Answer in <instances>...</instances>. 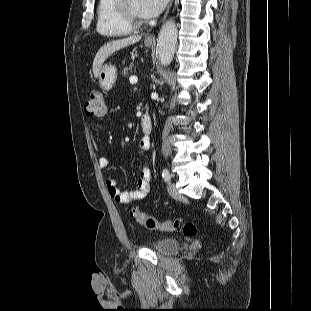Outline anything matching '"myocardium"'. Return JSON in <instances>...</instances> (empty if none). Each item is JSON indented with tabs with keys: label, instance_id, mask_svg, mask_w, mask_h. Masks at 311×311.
I'll use <instances>...</instances> for the list:
<instances>
[{
	"label": "myocardium",
	"instance_id": "myocardium-1",
	"mask_svg": "<svg viewBox=\"0 0 311 311\" xmlns=\"http://www.w3.org/2000/svg\"><path fill=\"white\" fill-rule=\"evenodd\" d=\"M128 2L129 0H118V11L121 19L131 29L141 28L145 25V21L131 12Z\"/></svg>",
	"mask_w": 311,
	"mask_h": 311
}]
</instances>
